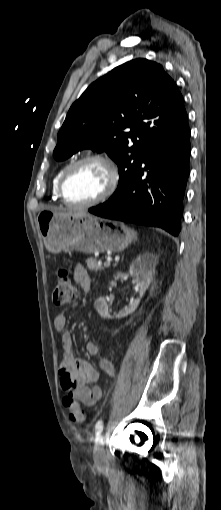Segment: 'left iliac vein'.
Here are the masks:
<instances>
[{
	"label": "left iliac vein",
	"mask_w": 221,
	"mask_h": 510,
	"mask_svg": "<svg viewBox=\"0 0 221 510\" xmlns=\"http://www.w3.org/2000/svg\"><path fill=\"white\" fill-rule=\"evenodd\" d=\"M104 448H103V442L100 440L98 443L95 444L94 448V461L97 466H102L104 461Z\"/></svg>",
	"instance_id": "4c4485c4"
}]
</instances>
